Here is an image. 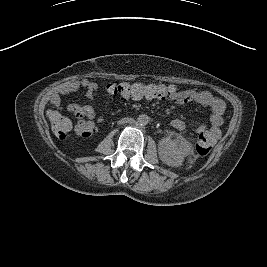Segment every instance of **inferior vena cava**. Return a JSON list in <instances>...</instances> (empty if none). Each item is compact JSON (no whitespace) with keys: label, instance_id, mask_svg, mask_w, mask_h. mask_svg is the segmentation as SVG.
Returning <instances> with one entry per match:
<instances>
[{"label":"inferior vena cava","instance_id":"602c4592","mask_svg":"<svg viewBox=\"0 0 267 267\" xmlns=\"http://www.w3.org/2000/svg\"><path fill=\"white\" fill-rule=\"evenodd\" d=\"M133 119L132 118H122L121 120L118 121L119 124H126V123H132Z\"/></svg>","mask_w":267,"mask_h":267}]
</instances>
